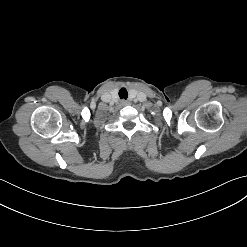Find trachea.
I'll list each match as a JSON object with an SVG mask.
<instances>
[{
	"instance_id": "obj_1",
	"label": "trachea",
	"mask_w": 247,
	"mask_h": 247,
	"mask_svg": "<svg viewBox=\"0 0 247 247\" xmlns=\"http://www.w3.org/2000/svg\"><path fill=\"white\" fill-rule=\"evenodd\" d=\"M119 97H120L121 99H127V97H128V92H127V90H126L125 88H121V89L119 90Z\"/></svg>"
}]
</instances>
